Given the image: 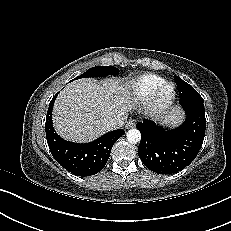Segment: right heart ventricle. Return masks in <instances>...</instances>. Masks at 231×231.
Returning <instances> with one entry per match:
<instances>
[{
  "instance_id": "right-heart-ventricle-1",
  "label": "right heart ventricle",
  "mask_w": 231,
  "mask_h": 231,
  "mask_svg": "<svg viewBox=\"0 0 231 231\" xmlns=\"http://www.w3.org/2000/svg\"><path fill=\"white\" fill-rule=\"evenodd\" d=\"M163 82L162 77L148 73L127 81L125 89L129 99L133 102H143Z\"/></svg>"
}]
</instances>
